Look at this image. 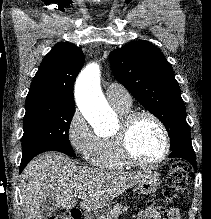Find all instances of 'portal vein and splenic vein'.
Here are the masks:
<instances>
[{
  "label": "portal vein and splenic vein",
  "mask_w": 211,
  "mask_h": 219,
  "mask_svg": "<svg viewBox=\"0 0 211 219\" xmlns=\"http://www.w3.org/2000/svg\"><path fill=\"white\" fill-rule=\"evenodd\" d=\"M86 194L85 193H80V194H78V198H80V199H85L86 198Z\"/></svg>",
  "instance_id": "portal-vein-and-splenic-vein-1"
}]
</instances>
